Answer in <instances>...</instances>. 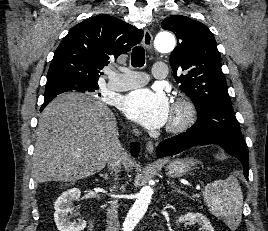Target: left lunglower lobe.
I'll use <instances>...</instances> for the list:
<instances>
[{
    "label": "left lung lower lobe",
    "instance_id": "obj_1",
    "mask_svg": "<svg viewBox=\"0 0 268 231\" xmlns=\"http://www.w3.org/2000/svg\"><path fill=\"white\" fill-rule=\"evenodd\" d=\"M195 143H199L201 145H220L228 154L238 158L241 161L244 168V176L248 180V149L241 148L237 144L228 141H222L212 136L203 135L194 131L187 130L184 133L162 141L157 148L156 154L158 157L172 156L191 148Z\"/></svg>",
    "mask_w": 268,
    "mask_h": 231
}]
</instances>
